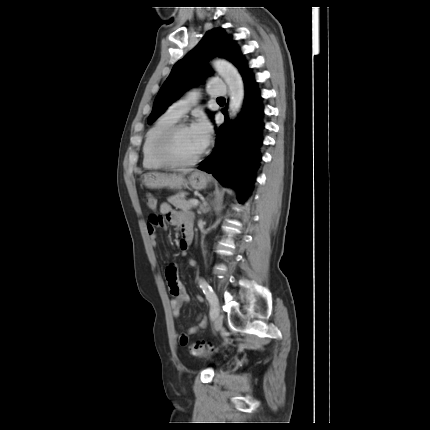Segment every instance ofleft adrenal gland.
Returning a JSON list of instances; mask_svg holds the SVG:
<instances>
[{
  "instance_id": "a2214340",
  "label": "left adrenal gland",
  "mask_w": 430,
  "mask_h": 430,
  "mask_svg": "<svg viewBox=\"0 0 430 430\" xmlns=\"http://www.w3.org/2000/svg\"><path fill=\"white\" fill-rule=\"evenodd\" d=\"M205 205H206V203H204V205H203V206H205ZM203 206L201 207V210H204V209H203Z\"/></svg>"
}]
</instances>
